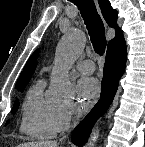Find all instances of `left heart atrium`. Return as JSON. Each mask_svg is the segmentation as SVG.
I'll return each instance as SVG.
<instances>
[{"label": "left heart atrium", "mask_w": 145, "mask_h": 147, "mask_svg": "<svg viewBox=\"0 0 145 147\" xmlns=\"http://www.w3.org/2000/svg\"><path fill=\"white\" fill-rule=\"evenodd\" d=\"M101 92L100 83L92 77H84L77 84V96L83 108L91 106L99 97Z\"/></svg>", "instance_id": "1"}]
</instances>
